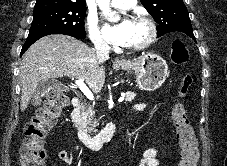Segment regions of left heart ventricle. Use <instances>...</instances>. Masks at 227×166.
Returning a JSON list of instances; mask_svg holds the SVG:
<instances>
[{
	"mask_svg": "<svg viewBox=\"0 0 227 166\" xmlns=\"http://www.w3.org/2000/svg\"><path fill=\"white\" fill-rule=\"evenodd\" d=\"M147 36V27L144 23L133 20L131 30L126 45H132L143 41Z\"/></svg>",
	"mask_w": 227,
	"mask_h": 166,
	"instance_id": "obj_1",
	"label": "left heart ventricle"
}]
</instances>
